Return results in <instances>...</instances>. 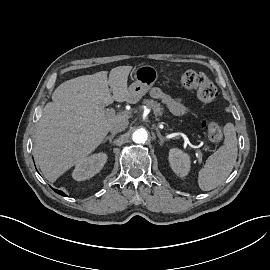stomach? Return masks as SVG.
<instances>
[{"label": "stomach", "mask_w": 270, "mask_h": 270, "mask_svg": "<svg viewBox=\"0 0 270 270\" xmlns=\"http://www.w3.org/2000/svg\"><path fill=\"white\" fill-rule=\"evenodd\" d=\"M158 78L157 70L151 65H140L134 69L135 81L129 86V101H139L154 85Z\"/></svg>", "instance_id": "stomach-1"}]
</instances>
